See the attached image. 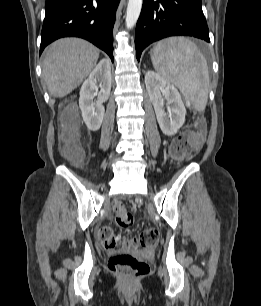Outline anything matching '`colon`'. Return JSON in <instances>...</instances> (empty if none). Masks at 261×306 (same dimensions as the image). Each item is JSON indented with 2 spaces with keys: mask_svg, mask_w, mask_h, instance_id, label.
<instances>
[{
  "mask_svg": "<svg viewBox=\"0 0 261 306\" xmlns=\"http://www.w3.org/2000/svg\"><path fill=\"white\" fill-rule=\"evenodd\" d=\"M61 141L65 156L72 162L78 163L83 153L78 146L79 118L75 111L67 110L61 116ZM202 142L200 133L185 131L179 134L170 145V153L175 161H182L199 148ZM116 222L120 227L126 228L133 224L132 213L121 206L115 211ZM99 238L103 247L108 251L118 249L150 248L156 245L159 233L155 228H147L133 238L121 240L110 227L103 226L99 229ZM111 272L117 274L126 281H134L144 276L148 270V264L128 252H118L112 255L108 262Z\"/></svg>",
  "mask_w": 261,
  "mask_h": 306,
  "instance_id": "obj_1",
  "label": "colon"
}]
</instances>
